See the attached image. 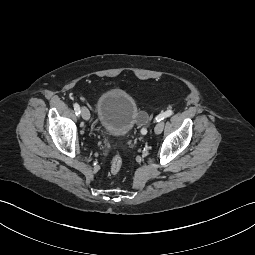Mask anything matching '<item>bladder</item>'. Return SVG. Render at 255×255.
Returning <instances> with one entry per match:
<instances>
[{"label":"bladder","mask_w":255,"mask_h":255,"mask_svg":"<svg viewBox=\"0 0 255 255\" xmlns=\"http://www.w3.org/2000/svg\"><path fill=\"white\" fill-rule=\"evenodd\" d=\"M135 98L124 90H107L98 98L96 116L99 125L110 136L122 137L139 123Z\"/></svg>","instance_id":"obj_1"}]
</instances>
